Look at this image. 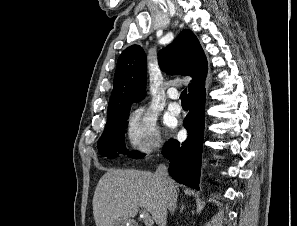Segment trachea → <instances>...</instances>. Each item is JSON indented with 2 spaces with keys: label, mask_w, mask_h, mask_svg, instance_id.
<instances>
[{
  "label": "trachea",
  "mask_w": 297,
  "mask_h": 226,
  "mask_svg": "<svg viewBox=\"0 0 297 226\" xmlns=\"http://www.w3.org/2000/svg\"><path fill=\"white\" fill-rule=\"evenodd\" d=\"M182 104H188L187 89H184L180 96Z\"/></svg>",
  "instance_id": "obj_1"
}]
</instances>
